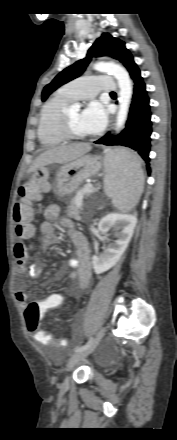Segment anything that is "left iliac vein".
<instances>
[{
	"mask_svg": "<svg viewBox=\"0 0 177 440\" xmlns=\"http://www.w3.org/2000/svg\"><path fill=\"white\" fill-rule=\"evenodd\" d=\"M104 332H105V328L102 327L100 329V331L97 333L95 339L93 340L92 344L86 348L85 350L76 352L75 354H73L67 363V369L71 370L80 360L84 359L85 357H87L89 354H91L96 347L99 345L101 339L104 336ZM68 384H69V378L66 377L63 383V387L64 388H68Z\"/></svg>",
	"mask_w": 177,
	"mask_h": 440,
	"instance_id": "left-iliac-vein-1",
	"label": "left iliac vein"
}]
</instances>
